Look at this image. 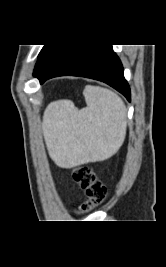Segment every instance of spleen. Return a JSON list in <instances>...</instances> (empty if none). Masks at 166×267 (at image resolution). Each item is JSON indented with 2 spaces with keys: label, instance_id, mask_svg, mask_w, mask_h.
Instances as JSON below:
<instances>
[{
  "label": "spleen",
  "instance_id": "3e777b00",
  "mask_svg": "<svg viewBox=\"0 0 166 267\" xmlns=\"http://www.w3.org/2000/svg\"><path fill=\"white\" fill-rule=\"evenodd\" d=\"M87 107L51 104L43 118L50 156L61 167L102 161L115 154L126 135V107L109 89L86 85Z\"/></svg>",
  "mask_w": 166,
  "mask_h": 267
}]
</instances>
